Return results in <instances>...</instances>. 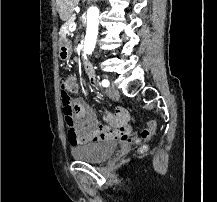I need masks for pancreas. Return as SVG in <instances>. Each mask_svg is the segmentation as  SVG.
Masks as SVG:
<instances>
[{"instance_id":"cf45deb5","label":"pancreas","mask_w":217,"mask_h":202,"mask_svg":"<svg viewBox=\"0 0 217 202\" xmlns=\"http://www.w3.org/2000/svg\"><path fill=\"white\" fill-rule=\"evenodd\" d=\"M70 20H73V17H70ZM68 26H69V22H65V23H63V26L61 27V32L64 34V33H68L69 32V28H68Z\"/></svg>"}]
</instances>
